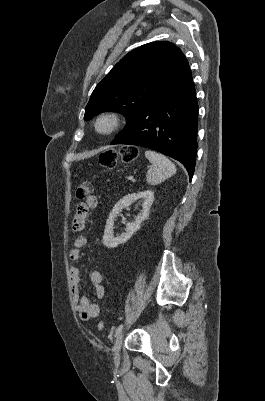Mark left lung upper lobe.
I'll list each match as a JSON object with an SVG mask.
<instances>
[{
	"mask_svg": "<svg viewBox=\"0 0 265 401\" xmlns=\"http://www.w3.org/2000/svg\"><path fill=\"white\" fill-rule=\"evenodd\" d=\"M188 65L181 50L167 41L132 50L98 83L85 108L84 119L115 111L125 115V129L128 128Z\"/></svg>",
	"mask_w": 265,
	"mask_h": 401,
	"instance_id": "left-lung-upper-lobe-1",
	"label": "left lung upper lobe"
}]
</instances>
